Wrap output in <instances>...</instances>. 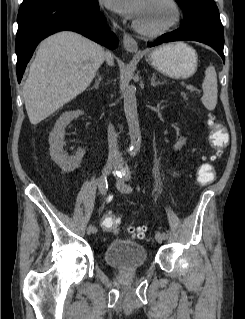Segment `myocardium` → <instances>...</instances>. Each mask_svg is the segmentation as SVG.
Masks as SVG:
<instances>
[{"mask_svg": "<svg viewBox=\"0 0 245 319\" xmlns=\"http://www.w3.org/2000/svg\"><path fill=\"white\" fill-rule=\"evenodd\" d=\"M171 7L173 11V18L167 24L157 27V28H149L141 25L138 21L133 22V28L140 34L149 36V37H156L163 35L172 29H174L181 21L182 11L181 8L176 0H165Z\"/></svg>", "mask_w": 245, "mask_h": 319, "instance_id": "obj_1", "label": "myocardium"}]
</instances>
